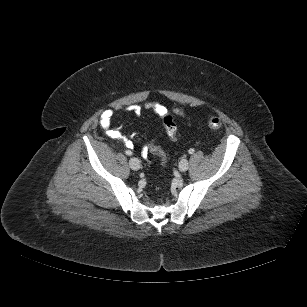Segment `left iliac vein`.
<instances>
[{
	"mask_svg": "<svg viewBox=\"0 0 307 307\" xmlns=\"http://www.w3.org/2000/svg\"><path fill=\"white\" fill-rule=\"evenodd\" d=\"M189 167V163L188 160L186 158L181 159V161L179 162V170L181 172H185Z\"/></svg>",
	"mask_w": 307,
	"mask_h": 307,
	"instance_id": "1",
	"label": "left iliac vein"
}]
</instances>
